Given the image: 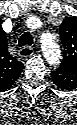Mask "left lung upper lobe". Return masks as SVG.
I'll use <instances>...</instances> for the list:
<instances>
[{
	"mask_svg": "<svg viewBox=\"0 0 77 125\" xmlns=\"http://www.w3.org/2000/svg\"><path fill=\"white\" fill-rule=\"evenodd\" d=\"M60 33L61 43L64 47V55L61 66L75 67L77 66V18H65L60 26ZM67 70L59 72L56 75H52L54 83L62 89H70L71 87V72Z\"/></svg>",
	"mask_w": 77,
	"mask_h": 125,
	"instance_id": "1",
	"label": "left lung upper lobe"
}]
</instances>
